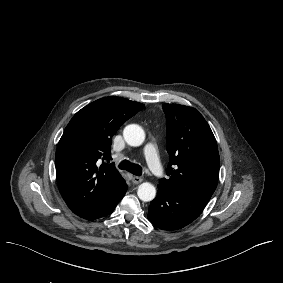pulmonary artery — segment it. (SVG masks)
<instances>
[{"label": "pulmonary artery", "mask_w": 283, "mask_h": 283, "mask_svg": "<svg viewBox=\"0 0 283 283\" xmlns=\"http://www.w3.org/2000/svg\"><path fill=\"white\" fill-rule=\"evenodd\" d=\"M157 151V146L152 143H147L142 149L143 160L146 162L147 166L151 168V171L155 173L157 178H162L164 176L163 165L161 161V157L159 155H155Z\"/></svg>", "instance_id": "obj_1"}]
</instances>
